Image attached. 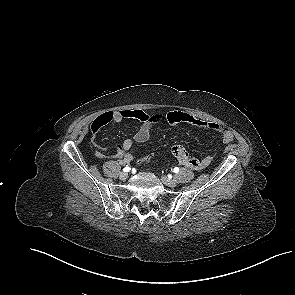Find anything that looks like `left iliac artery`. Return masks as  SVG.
<instances>
[{
	"mask_svg": "<svg viewBox=\"0 0 295 295\" xmlns=\"http://www.w3.org/2000/svg\"><path fill=\"white\" fill-rule=\"evenodd\" d=\"M173 172H174V173H178V172H179V168H178V167H175V168L173 169Z\"/></svg>",
	"mask_w": 295,
	"mask_h": 295,
	"instance_id": "1",
	"label": "left iliac artery"
}]
</instances>
